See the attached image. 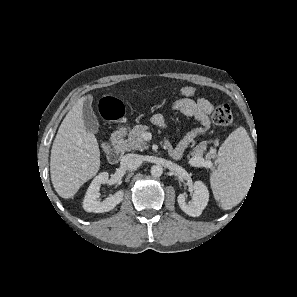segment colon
<instances>
[{
    "label": "colon",
    "instance_id": "1",
    "mask_svg": "<svg viewBox=\"0 0 297 297\" xmlns=\"http://www.w3.org/2000/svg\"><path fill=\"white\" fill-rule=\"evenodd\" d=\"M196 92V88L192 86H185L180 89V95L184 98H191ZM98 113L101 119L107 123L118 120L123 115V107L115 97L105 96L99 102ZM232 118V110L228 104L218 105L213 112V121L217 125H228Z\"/></svg>",
    "mask_w": 297,
    "mask_h": 297
}]
</instances>
